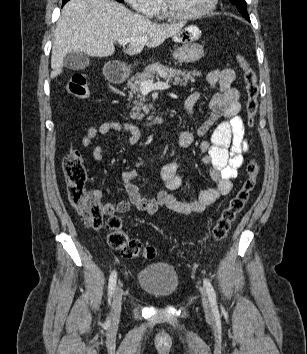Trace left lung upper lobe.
<instances>
[{
	"mask_svg": "<svg viewBox=\"0 0 307 354\" xmlns=\"http://www.w3.org/2000/svg\"><path fill=\"white\" fill-rule=\"evenodd\" d=\"M233 4L236 5L240 13L247 19L250 20L247 12V3L245 0H230Z\"/></svg>",
	"mask_w": 307,
	"mask_h": 354,
	"instance_id": "1",
	"label": "left lung upper lobe"
}]
</instances>
